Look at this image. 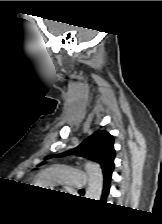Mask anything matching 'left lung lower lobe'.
<instances>
[{
	"mask_svg": "<svg viewBox=\"0 0 162 224\" xmlns=\"http://www.w3.org/2000/svg\"><path fill=\"white\" fill-rule=\"evenodd\" d=\"M111 177H112V172L104 176V187H103L102 199H101L102 202H105L106 197L109 194Z\"/></svg>",
	"mask_w": 162,
	"mask_h": 224,
	"instance_id": "0a47b994",
	"label": "left lung lower lobe"
}]
</instances>
